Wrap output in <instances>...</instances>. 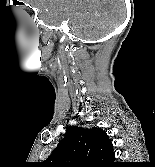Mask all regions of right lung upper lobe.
I'll return each mask as SVG.
<instances>
[{
  "label": "right lung upper lobe",
  "instance_id": "1",
  "mask_svg": "<svg viewBox=\"0 0 155 167\" xmlns=\"http://www.w3.org/2000/svg\"><path fill=\"white\" fill-rule=\"evenodd\" d=\"M69 159L71 162H66ZM113 144L102 129L72 126L43 167H112Z\"/></svg>",
  "mask_w": 155,
  "mask_h": 167
}]
</instances>
